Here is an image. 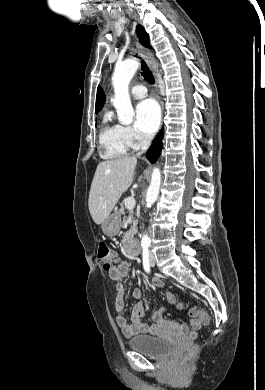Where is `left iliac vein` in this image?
I'll return each instance as SVG.
<instances>
[{"instance_id": "left-iliac-vein-1", "label": "left iliac vein", "mask_w": 265, "mask_h": 390, "mask_svg": "<svg viewBox=\"0 0 265 390\" xmlns=\"http://www.w3.org/2000/svg\"><path fill=\"white\" fill-rule=\"evenodd\" d=\"M150 264L152 267L155 266V259H154V255L152 252L150 253Z\"/></svg>"}]
</instances>
